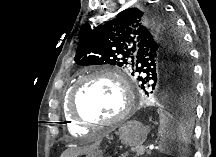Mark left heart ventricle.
<instances>
[{
  "label": "left heart ventricle",
  "mask_w": 216,
  "mask_h": 157,
  "mask_svg": "<svg viewBox=\"0 0 216 157\" xmlns=\"http://www.w3.org/2000/svg\"><path fill=\"white\" fill-rule=\"evenodd\" d=\"M123 107L119 86L107 78L84 83L76 96V109L86 119L104 121L115 118Z\"/></svg>",
  "instance_id": "b2bd125f"
}]
</instances>
